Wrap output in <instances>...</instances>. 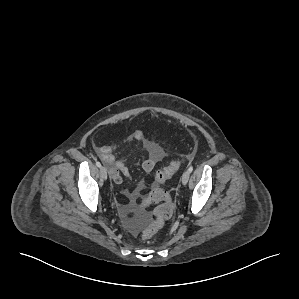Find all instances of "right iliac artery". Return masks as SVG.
Returning a JSON list of instances; mask_svg holds the SVG:
<instances>
[{"label": "right iliac artery", "mask_w": 299, "mask_h": 299, "mask_svg": "<svg viewBox=\"0 0 299 299\" xmlns=\"http://www.w3.org/2000/svg\"><path fill=\"white\" fill-rule=\"evenodd\" d=\"M96 166L100 168L101 167V163L99 161H96Z\"/></svg>", "instance_id": "obj_1"}]
</instances>
